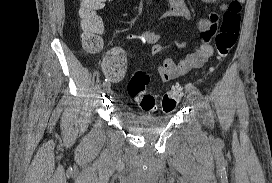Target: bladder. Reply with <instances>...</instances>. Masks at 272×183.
Wrapping results in <instances>:
<instances>
[{
  "label": "bladder",
  "instance_id": "31cf9c89",
  "mask_svg": "<svg viewBox=\"0 0 272 183\" xmlns=\"http://www.w3.org/2000/svg\"><path fill=\"white\" fill-rule=\"evenodd\" d=\"M171 117L172 115L170 113L164 115H149L125 111L121 114V120L125 125L142 131L163 129L169 124Z\"/></svg>",
  "mask_w": 272,
  "mask_h": 183
}]
</instances>
